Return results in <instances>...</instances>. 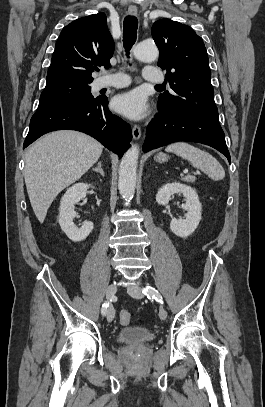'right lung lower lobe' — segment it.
I'll use <instances>...</instances> for the list:
<instances>
[{"mask_svg": "<svg viewBox=\"0 0 265 407\" xmlns=\"http://www.w3.org/2000/svg\"><path fill=\"white\" fill-rule=\"evenodd\" d=\"M71 129L91 135L106 148L122 157L130 146L132 132L129 124L113 115L106 97L92 101L51 108L35 113L23 148L45 133Z\"/></svg>", "mask_w": 265, "mask_h": 407, "instance_id": "obj_1", "label": "right lung lower lobe"}]
</instances>
